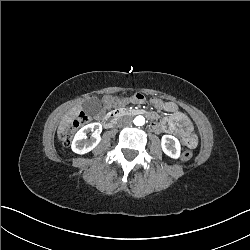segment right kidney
Segmentation results:
<instances>
[{
  "mask_svg": "<svg viewBox=\"0 0 250 250\" xmlns=\"http://www.w3.org/2000/svg\"><path fill=\"white\" fill-rule=\"evenodd\" d=\"M92 137L90 140H85L87 138L86 133L92 131ZM102 125L98 122H93L88 125L83 126L75 134L71 148L74 152L83 154L92 150L101 140Z\"/></svg>",
  "mask_w": 250,
  "mask_h": 250,
  "instance_id": "obj_1",
  "label": "right kidney"
}]
</instances>
